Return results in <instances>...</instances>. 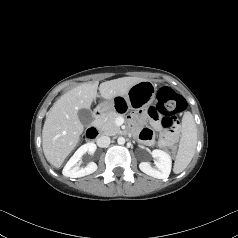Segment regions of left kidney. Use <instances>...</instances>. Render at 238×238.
Listing matches in <instances>:
<instances>
[{"mask_svg": "<svg viewBox=\"0 0 238 238\" xmlns=\"http://www.w3.org/2000/svg\"><path fill=\"white\" fill-rule=\"evenodd\" d=\"M151 155L156 159L155 167L153 168L148 162H141L139 164L140 170L154 178H168L172 167V160L170 155L159 149L152 150Z\"/></svg>", "mask_w": 238, "mask_h": 238, "instance_id": "5707ae66", "label": "left kidney"}]
</instances>
